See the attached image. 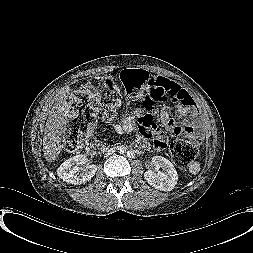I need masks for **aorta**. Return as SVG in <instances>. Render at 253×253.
Here are the masks:
<instances>
[{
  "instance_id": "obj_1",
  "label": "aorta",
  "mask_w": 253,
  "mask_h": 253,
  "mask_svg": "<svg viewBox=\"0 0 253 253\" xmlns=\"http://www.w3.org/2000/svg\"><path fill=\"white\" fill-rule=\"evenodd\" d=\"M117 150H118V152H119L120 154H122V155L125 154L126 151H127L126 148H125L124 146H122V145L119 146Z\"/></svg>"
}]
</instances>
